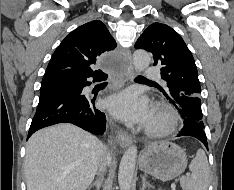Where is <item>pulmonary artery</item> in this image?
<instances>
[{"instance_id":"1","label":"pulmonary artery","mask_w":234,"mask_h":190,"mask_svg":"<svg viewBox=\"0 0 234 190\" xmlns=\"http://www.w3.org/2000/svg\"><path fill=\"white\" fill-rule=\"evenodd\" d=\"M144 72L147 78H159V71L155 67H146Z\"/></svg>"}]
</instances>
